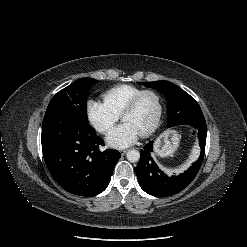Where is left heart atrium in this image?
<instances>
[{
    "mask_svg": "<svg viewBox=\"0 0 247 247\" xmlns=\"http://www.w3.org/2000/svg\"><path fill=\"white\" fill-rule=\"evenodd\" d=\"M140 133L130 123L124 122L112 129L107 135V142L110 146L124 148L132 145Z\"/></svg>",
    "mask_w": 247,
    "mask_h": 247,
    "instance_id": "left-heart-atrium-1",
    "label": "left heart atrium"
}]
</instances>
